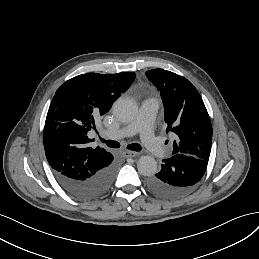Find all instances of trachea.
<instances>
[{"label":"trachea","instance_id":"1","mask_svg":"<svg viewBox=\"0 0 259 259\" xmlns=\"http://www.w3.org/2000/svg\"><path fill=\"white\" fill-rule=\"evenodd\" d=\"M98 137H99L100 142L106 144L110 148H119L120 147V144L117 141L105 140V139L101 138L100 136H98ZM127 149L137 152V151L141 150V146L137 143H132L127 146Z\"/></svg>","mask_w":259,"mask_h":259}]
</instances>
